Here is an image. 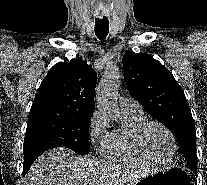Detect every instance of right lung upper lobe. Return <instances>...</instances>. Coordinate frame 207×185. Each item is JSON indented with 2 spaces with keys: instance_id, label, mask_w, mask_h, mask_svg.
Instances as JSON below:
<instances>
[{
  "instance_id": "right-lung-upper-lobe-1",
  "label": "right lung upper lobe",
  "mask_w": 207,
  "mask_h": 185,
  "mask_svg": "<svg viewBox=\"0 0 207 185\" xmlns=\"http://www.w3.org/2000/svg\"><path fill=\"white\" fill-rule=\"evenodd\" d=\"M96 72L82 59L55 64L42 81L30 115H62L90 119L94 111Z\"/></svg>"
}]
</instances>
